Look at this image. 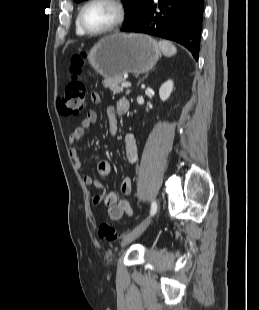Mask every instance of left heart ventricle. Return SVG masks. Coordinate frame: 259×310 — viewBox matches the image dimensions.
<instances>
[{
    "label": "left heart ventricle",
    "mask_w": 259,
    "mask_h": 310,
    "mask_svg": "<svg viewBox=\"0 0 259 310\" xmlns=\"http://www.w3.org/2000/svg\"><path fill=\"white\" fill-rule=\"evenodd\" d=\"M117 16L116 9L105 2H96L88 6L83 13V21L91 30H101L109 26Z\"/></svg>",
    "instance_id": "obj_1"
}]
</instances>
